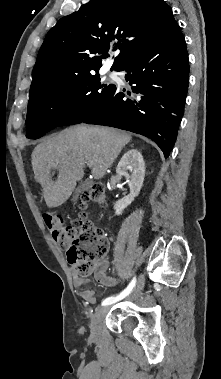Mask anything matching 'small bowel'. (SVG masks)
Listing matches in <instances>:
<instances>
[{"instance_id":"1","label":"small bowel","mask_w":221,"mask_h":379,"mask_svg":"<svg viewBox=\"0 0 221 379\" xmlns=\"http://www.w3.org/2000/svg\"><path fill=\"white\" fill-rule=\"evenodd\" d=\"M108 267H109V261L106 257H104L97 265L96 267V271H95V274H94V278L97 282H99L100 284H103L105 286H114L117 282V280L112 277V276H109L107 274V270H108ZM73 281H74V285L76 287H81L83 286L85 283H87V280L83 277H80L79 275L77 274H74L73 275ZM80 297L87 303L89 304H96L97 303V297L94 293V291L92 289H83L81 292H80Z\"/></svg>"}]
</instances>
